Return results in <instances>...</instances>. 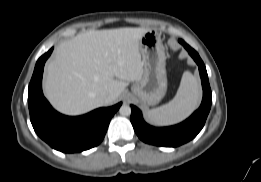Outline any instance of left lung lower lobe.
<instances>
[{
  "mask_svg": "<svg viewBox=\"0 0 261 182\" xmlns=\"http://www.w3.org/2000/svg\"><path fill=\"white\" fill-rule=\"evenodd\" d=\"M188 53L192 56L199 67L200 77L203 87V100L197 111H195L184 122L170 126L156 128L148 125L142 117L141 111L131 106V123L138 137L145 143L165 146L177 147L192 140L203 128L212 103V92L210 89L206 67L201 60L199 54L186 43L182 44Z\"/></svg>",
  "mask_w": 261,
  "mask_h": 182,
  "instance_id": "left-lung-lower-lobe-1",
  "label": "left lung lower lobe"
}]
</instances>
